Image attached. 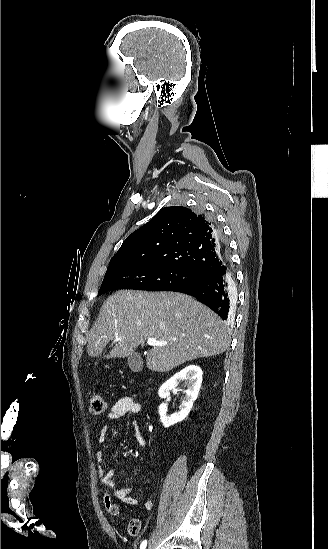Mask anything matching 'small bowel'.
Masks as SVG:
<instances>
[{
	"label": "small bowel",
	"mask_w": 328,
	"mask_h": 549,
	"mask_svg": "<svg viewBox=\"0 0 328 549\" xmlns=\"http://www.w3.org/2000/svg\"><path fill=\"white\" fill-rule=\"evenodd\" d=\"M141 410V405L136 402L133 398L125 396L120 398L110 409L108 414V421H116L123 418L127 414H137ZM136 439L138 444L144 448L145 440L137 426H135ZM109 434V426L106 425L102 428L98 435V443L102 444ZM96 460L98 463V474L101 477V483L103 486L113 490V495L115 498L119 499L121 502L127 505H135L138 503V499L131 495V488H117L114 481V471L106 468L104 465V456L101 451L96 452ZM146 509L152 507V502L147 500L144 503Z\"/></svg>",
	"instance_id": "1"
}]
</instances>
